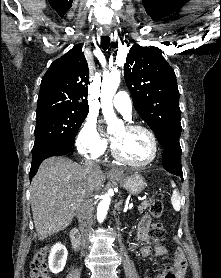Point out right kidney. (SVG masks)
I'll use <instances>...</instances> for the list:
<instances>
[{
	"label": "right kidney",
	"mask_w": 221,
	"mask_h": 278,
	"mask_svg": "<svg viewBox=\"0 0 221 278\" xmlns=\"http://www.w3.org/2000/svg\"><path fill=\"white\" fill-rule=\"evenodd\" d=\"M68 251L61 243H56L50 251L48 258L49 269L52 273L58 274L66 264Z\"/></svg>",
	"instance_id": "ca27d5eb"
}]
</instances>
